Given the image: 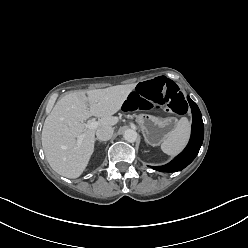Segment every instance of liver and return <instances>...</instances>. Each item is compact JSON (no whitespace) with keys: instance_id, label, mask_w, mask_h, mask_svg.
<instances>
[{"instance_id":"liver-1","label":"liver","mask_w":248,"mask_h":248,"mask_svg":"<svg viewBox=\"0 0 248 248\" xmlns=\"http://www.w3.org/2000/svg\"><path fill=\"white\" fill-rule=\"evenodd\" d=\"M135 87L136 84H127L77 90L57 101L45 119L41 136L45 157L55 172L74 179L85 171L94 152L96 130L86 129L83 122L95 116L99 118L98 128L116 125L119 118L113 115ZM81 135L84 138L78 144Z\"/></svg>"}]
</instances>
